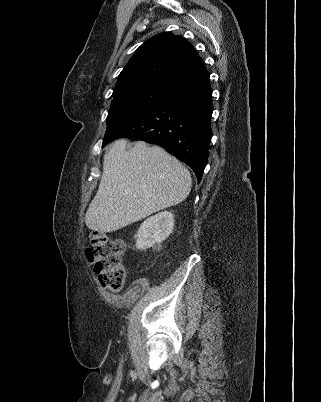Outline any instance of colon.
<instances>
[{
	"label": "colon",
	"mask_w": 321,
	"mask_h": 402,
	"mask_svg": "<svg viewBox=\"0 0 321 402\" xmlns=\"http://www.w3.org/2000/svg\"><path fill=\"white\" fill-rule=\"evenodd\" d=\"M90 242L86 255L89 262L94 264L101 286L111 291L121 290L127 276L123 262V242L100 231L91 234Z\"/></svg>",
	"instance_id": "5ec220e1"
}]
</instances>
